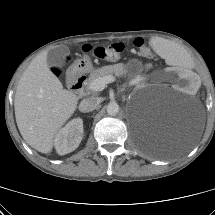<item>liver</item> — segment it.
Instances as JSON below:
<instances>
[{
  "instance_id": "obj_1",
  "label": "liver",
  "mask_w": 215,
  "mask_h": 215,
  "mask_svg": "<svg viewBox=\"0 0 215 215\" xmlns=\"http://www.w3.org/2000/svg\"><path fill=\"white\" fill-rule=\"evenodd\" d=\"M160 39V38H158ZM47 51L37 55L21 76L14 100L21 136L35 150L50 153L58 129L77 108L78 97L63 89L47 64Z\"/></svg>"
}]
</instances>
